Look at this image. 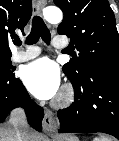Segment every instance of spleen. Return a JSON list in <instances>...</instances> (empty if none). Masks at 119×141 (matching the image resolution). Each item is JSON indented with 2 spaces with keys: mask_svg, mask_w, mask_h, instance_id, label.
Masks as SVG:
<instances>
[{
  "mask_svg": "<svg viewBox=\"0 0 119 141\" xmlns=\"http://www.w3.org/2000/svg\"><path fill=\"white\" fill-rule=\"evenodd\" d=\"M93 141H110V140L106 137H96L93 139Z\"/></svg>",
  "mask_w": 119,
  "mask_h": 141,
  "instance_id": "obj_1",
  "label": "spleen"
}]
</instances>
